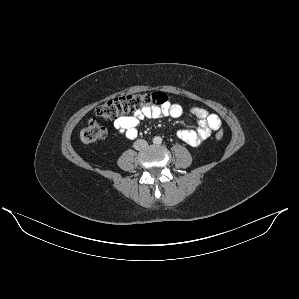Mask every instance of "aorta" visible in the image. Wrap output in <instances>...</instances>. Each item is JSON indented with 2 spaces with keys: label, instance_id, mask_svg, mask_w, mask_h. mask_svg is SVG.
Returning a JSON list of instances; mask_svg holds the SVG:
<instances>
[{
  "label": "aorta",
  "instance_id": "762f6f07",
  "mask_svg": "<svg viewBox=\"0 0 299 299\" xmlns=\"http://www.w3.org/2000/svg\"><path fill=\"white\" fill-rule=\"evenodd\" d=\"M153 142L155 144H159L161 142V138L160 137H155L154 140H153Z\"/></svg>",
  "mask_w": 299,
  "mask_h": 299
}]
</instances>
